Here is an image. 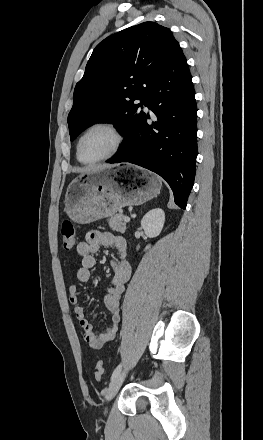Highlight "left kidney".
I'll use <instances>...</instances> for the list:
<instances>
[{
    "label": "left kidney",
    "instance_id": "1",
    "mask_svg": "<svg viewBox=\"0 0 263 440\" xmlns=\"http://www.w3.org/2000/svg\"><path fill=\"white\" fill-rule=\"evenodd\" d=\"M165 213L161 208L150 210L141 220V227L149 238L157 237L164 226ZM150 244L145 247V251L150 248Z\"/></svg>",
    "mask_w": 263,
    "mask_h": 440
}]
</instances>
